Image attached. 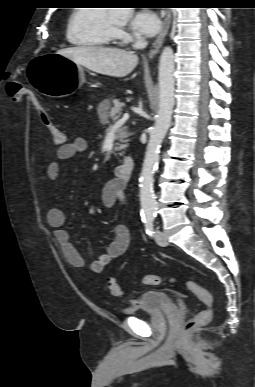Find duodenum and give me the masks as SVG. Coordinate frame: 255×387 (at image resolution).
Wrapping results in <instances>:
<instances>
[{"instance_id": "410a0bca", "label": "duodenum", "mask_w": 255, "mask_h": 387, "mask_svg": "<svg viewBox=\"0 0 255 387\" xmlns=\"http://www.w3.org/2000/svg\"><path fill=\"white\" fill-rule=\"evenodd\" d=\"M134 159L131 155H128L122 163L116 166V176L123 182H128L134 172Z\"/></svg>"}]
</instances>
